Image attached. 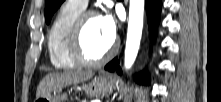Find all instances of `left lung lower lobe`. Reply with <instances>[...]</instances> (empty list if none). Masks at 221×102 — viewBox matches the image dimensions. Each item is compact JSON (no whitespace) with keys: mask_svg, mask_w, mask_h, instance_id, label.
Segmentation results:
<instances>
[{"mask_svg":"<svg viewBox=\"0 0 221 102\" xmlns=\"http://www.w3.org/2000/svg\"><path fill=\"white\" fill-rule=\"evenodd\" d=\"M145 3H146L150 35L151 38L154 39L156 36L157 25L159 22L161 0H146ZM105 69L110 72L117 71L118 74H121V69L119 67V62L117 58H115L109 64H107L105 66ZM137 82L142 84H149L150 80L148 74L146 72L141 73L137 77Z\"/></svg>","mask_w":221,"mask_h":102,"instance_id":"obj_1","label":"left lung lower lobe"}]
</instances>
